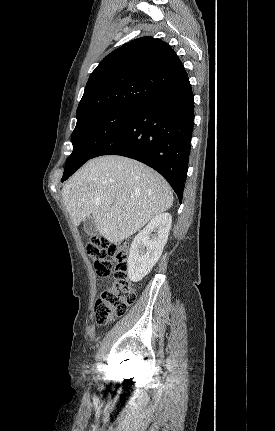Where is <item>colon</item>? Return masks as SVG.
<instances>
[{"instance_id": "colon-1", "label": "colon", "mask_w": 275, "mask_h": 431, "mask_svg": "<svg viewBox=\"0 0 275 431\" xmlns=\"http://www.w3.org/2000/svg\"><path fill=\"white\" fill-rule=\"evenodd\" d=\"M87 252L101 277L113 275L114 280L99 296L94 307V320L105 324L123 316L134 304L137 293L127 275L129 249L126 243L112 244L100 236H92Z\"/></svg>"}]
</instances>
